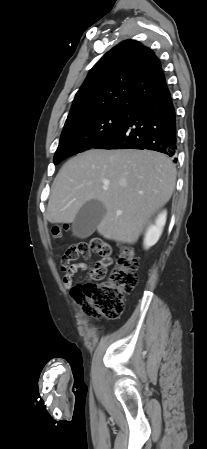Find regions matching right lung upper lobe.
<instances>
[{
  "instance_id": "cb5924a9",
  "label": "right lung upper lobe",
  "mask_w": 207,
  "mask_h": 449,
  "mask_svg": "<svg viewBox=\"0 0 207 449\" xmlns=\"http://www.w3.org/2000/svg\"><path fill=\"white\" fill-rule=\"evenodd\" d=\"M168 92L161 63L152 50L126 40L90 70L67 119L108 109L136 110Z\"/></svg>"
}]
</instances>
